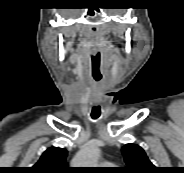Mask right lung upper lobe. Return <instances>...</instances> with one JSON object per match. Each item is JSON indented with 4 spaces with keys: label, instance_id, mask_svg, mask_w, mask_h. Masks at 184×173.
Here are the masks:
<instances>
[{
    "label": "right lung upper lobe",
    "instance_id": "cb5924a9",
    "mask_svg": "<svg viewBox=\"0 0 184 173\" xmlns=\"http://www.w3.org/2000/svg\"><path fill=\"white\" fill-rule=\"evenodd\" d=\"M67 151L59 147L47 149L30 169L31 173H70L66 164Z\"/></svg>",
    "mask_w": 184,
    "mask_h": 173
}]
</instances>
